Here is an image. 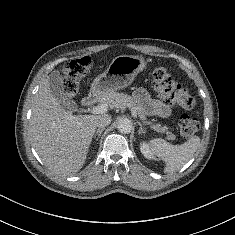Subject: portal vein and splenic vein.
Wrapping results in <instances>:
<instances>
[{
	"instance_id": "obj_1",
	"label": "portal vein and splenic vein",
	"mask_w": 235,
	"mask_h": 235,
	"mask_svg": "<svg viewBox=\"0 0 235 235\" xmlns=\"http://www.w3.org/2000/svg\"><path fill=\"white\" fill-rule=\"evenodd\" d=\"M131 108V112H132V115L134 117L137 116V113H136V110L134 107H130ZM108 110V105L106 103H103V104H99L97 106H95L92 110H91V113L92 114H103L105 112H107Z\"/></svg>"
}]
</instances>
